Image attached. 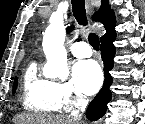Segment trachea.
I'll return each mask as SVG.
<instances>
[{"mask_svg":"<svg viewBox=\"0 0 145 124\" xmlns=\"http://www.w3.org/2000/svg\"><path fill=\"white\" fill-rule=\"evenodd\" d=\"M72 10L75 19L80 25H86L87 24V16H86V10H85V1L84 0H72ZM90 45L95 49L99 50V37L91 33L88 37Z\"/></svg>","mask_w":145,"mask_h":124,"instance_id":"obj_1","label":"trachea"}]
</instances>
